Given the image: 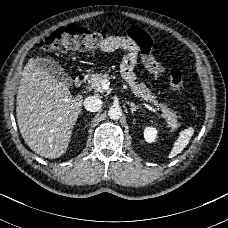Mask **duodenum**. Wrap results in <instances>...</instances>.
<instances>
[{
	"mask_svg": "<svg viewBox=\"0 0 228 228\" xmlns=\"http://www.w3.org/2000/svg\"><path fill=\"white\" fill-rule=\"evenodd\" d=\"M86 82V76L84 74H78L74 79V85L76 87H82Z\"/></svg>",
	"mask_w": 228,
	"mask_h": 228,
	"instance_id": "obj_1",
	"label": "duodenum"
}]
</instances>
